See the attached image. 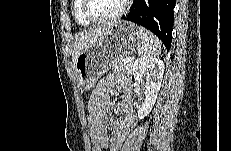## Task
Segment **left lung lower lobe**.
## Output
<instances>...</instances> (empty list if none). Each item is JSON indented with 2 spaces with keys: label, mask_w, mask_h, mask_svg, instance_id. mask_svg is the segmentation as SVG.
Returning a JSON list of instances; mask_svg holds the SVG:
<instances>
[{
  "label": "left lung lower lobe",
  "mask_w": 231,
  "mask_h": 151,
  "mask_svg": "<svg viewBox=\"0 0 231 151\" xmlns=\"http://www.w3.org/2000/svg\"><path fill=\"white\" fill-rule=\"evenodd\" d=\"M175 0H134L122 19L137 23L162 40L169 51L172 42Z\"/></svg>",
  "instance_id": "0a47b994"
}]
</instances>
